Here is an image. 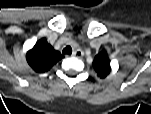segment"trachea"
<instances>
[{"label": "trachea", "instance_id": "trachea-1", "mask_svg": "<svg viewBox=\"0 0 151 114\" xmlns=\"http://www.w3.org/2000/svg\"><path fill=\"white\" fill-rule=\"evenodd\" d=\"M72 53V48L70 46H66L63 49V54H71Z\"/></svg>", "mask_w": 151, "mask_h": 114}]
</instances>
